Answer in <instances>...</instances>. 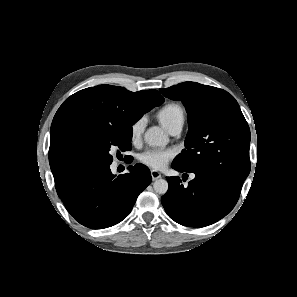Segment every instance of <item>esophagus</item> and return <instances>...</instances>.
Wrapping results in <instances>:
<instances>
[{
    "mask_svg": "<svg viewBox=\"0 0 297 297\" xmlns=\"http://www.w3.org/2000/svg\"><path fill=\"white\" fill-rule=\"evenodd\" d=\"M151 176H152L153 180H157V179L161 178L160 172H158L156 170H151Z\"/></svg>",
    "mask_w": 297,
    "mask_h": 297,
    "instance_id": "esophagus-1",
    "label": "esophagus"
}]
</instances>
